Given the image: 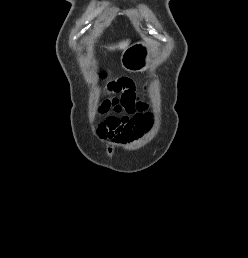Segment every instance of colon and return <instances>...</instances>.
I'll return each mask as SVG.
<instances>
[{
	"instance_id": "1",
	"label": "colon",
	"mask_w": 248,
	"mask_h": 258,
	"mask_svg": "<svg viewBox=\"0 0 248 258\" xmlns=\"http://www.w3.org/2000/svg\"><path fill=\"white\" fill-rule=\"evenodd\" d=\"M107 122H108L110 127H115L118 124H120L121 119L118 118V117H115V116H110V117L107 118Z\"/></svg>"
}]
</instances>
